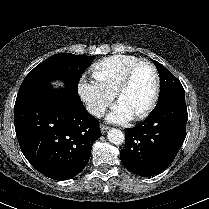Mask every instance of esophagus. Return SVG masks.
Here are the masks:
<instances>
[{
	"mask_svg": "<svg viewBox=\"0 0 209 209\" xmlns=\"http://www.w3.org/2000/svg\"><path fill=\"white\" fill-rule=\"evenodd\" d=\"M107 130H108L107 126H105L103 124L100 125V131H101L102 134H104Z\"/></svg>",
	"mask_w": 209,
	"mask_h": 209,
	"instance_id": "34e87169",
	"label": "esophagus"
}]
</instances>
